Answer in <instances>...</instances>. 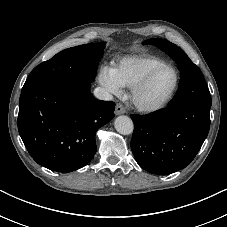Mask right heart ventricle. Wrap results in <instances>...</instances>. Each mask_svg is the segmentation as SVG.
Listing matches in <instances>:
<instances>
[{"label":"right heart ventricle","instance_id":"right-heart-ventricle-1","mask_svg":"<svg viewBox=\"0 0 227 227\" xmlns=\"http://www.w3.org/2000/svg\"><path fill=\"white\" fill-rule=\"evenodd\" d=\"M163 64L166 61L155 55H133L118 60L112 71L122 88H132L149 71Z\"/></svg>","mask_w":227,"mask_h":227}]
</instances>
